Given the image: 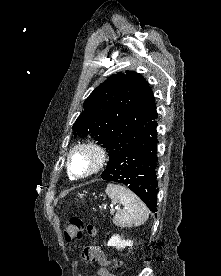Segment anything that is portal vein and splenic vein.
Here are the masks:
<instances>
[{
	"mask_svg": "<svg viewBox=\"0 0 221 276\" xmlns=\"http://www.w3.org/2000/svg\"><path fill=\"white\" fill-rule=\"evenodd\" d=\"M115 209H118V207H115ZM115 209L111 206L110 213H114Z\"/></svg>",
	"mask_w": 221,
	"mask_h": 276,
	"instance_id": "1",
	"label": "portal vein and splenic vein"
}]
</instances>
